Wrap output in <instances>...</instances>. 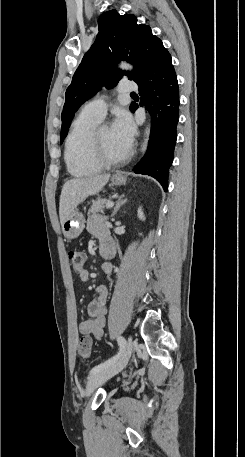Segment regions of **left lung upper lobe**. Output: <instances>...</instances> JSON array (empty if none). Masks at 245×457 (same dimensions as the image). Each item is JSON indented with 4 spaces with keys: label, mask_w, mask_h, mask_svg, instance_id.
I'll use <instances>...</instances> for the list:
<instances>
[{
    "label": "left lung upper lobe",
    "mask_w": 245,
    "mask_h": 457,
    "mask_svg": "<svg viewBox=\"0 0 245 457\" xmlns=\"http://www.w3.org/2000/svg\"><path fill=\"white\" fill-rule=\"evenodd\" d=\"M99 33L95 43L83 57L66 90L62 112L61 143L68 133L74 113L102 86L117 85L126 76L135 81L148 56L162 44L152 35L148 25L137 24L136 16L120 15L116 10L103 13L98 20ZM120 60H127L135 71L116 68Z\"/></svg>",
    "instance_id": "1"
}]
</instances>
